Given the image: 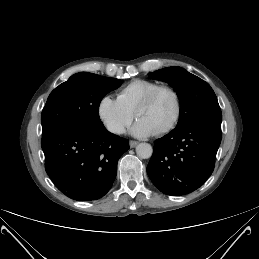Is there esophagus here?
<instances>
[{"label": "esophagus", "instance_id": "34e87169", "mask_svg": "<svg viewBox=\"0 0 259 259\" xmlns=\"http://www.w3.org/2000/svg\"><path fill=\"white\" fill-rule=\"evenodd\" d=\"M129 144L131 148H134L138 144V142L131 140Z\"/></svg>", "mask_w": 259, "mask_h": 259}]
</instances>
